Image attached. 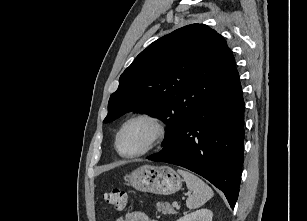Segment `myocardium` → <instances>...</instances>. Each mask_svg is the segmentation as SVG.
<instances>
[{"label": "myocardium", "mask_w": 307, "mask_h": 221, "mask_svg": "<svg viewBox=\"0 0 307 221\" xmlns=\"http://www.w3.org/2000/svg\"><path fill=\"white\" fill-rule=\"evenodd\" d=\"M138 121H144L147 122L151 125L152 130H153V134L151 136V139L148 143V145L141 151L137 152V153H132V154H126L123 153L120 150L119 147V142H120V138L121 135L123 133V131L125 130V128L134 122H138ZM166 127L164 122L157 116L150 114V113H139L136 114L130 118H128L120 127V129L118 130L117 134H116V138H115V148L117 150V152L124 158H137L143 155H146L147 153L151 152L153 149H155L157 146H159L165 139L166 137Z\"/></svg>", "instance_id": "obj_1"}]
</instances>
